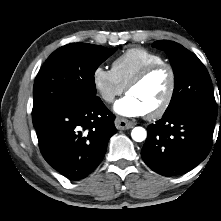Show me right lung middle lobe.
<instances>
[{
  "instance_id": "dd1d6c3e",
  "label": "right lung middle lobe",
  "mask_w": 221,
  "mask_h": 221,
  "mask_svg": "<svg viewBox=\"0 0 221 221\" xmlns=\"http://www.w3.org/2000/svg\"><path fill=\"white\" fill-rule=\"evenodd\" d=\"M115 51L116 48L72 43L53 52L34 83L33 124L59 104L97 99L94 73Z\"/></svg>"
}]
</instances>
